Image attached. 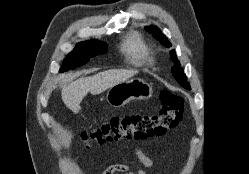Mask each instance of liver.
Masks as SVG:
<instances>
[{
    "instance_id": "1",
    "label": "liver",
    "mask_w": 249,
    "mask_h": 174,
    "mask_svg": "<svg viewBox=\"0 0 249 174\" xmlns=\"http://www.w3.org/2000/svg\"><path fill=\"white\" fill-rule=\"evenodd\" d=\"M136 74V70L112 69L90 77H82L62 89V100L70 110L77 112L80 109L81 101L88 92L92 95L100 94Z\"/></svg>"
}]
</instances>
